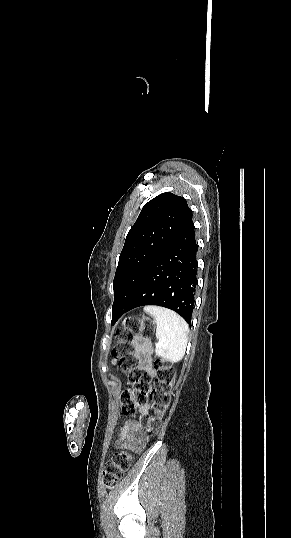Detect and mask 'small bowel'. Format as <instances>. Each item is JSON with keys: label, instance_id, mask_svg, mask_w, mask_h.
Masks as SVG:
<instances>
[{"label": "small bowel", "instance_id": "obj_1", "mask_svg": "<svg viewBox=\"0 0 291 538\" xmlns=\"http://www.w3.org/2000/svg\"><path fill=\"white\" fill-rule=\"evenodd\" d=\"M138 342L142 343V340L139 339ZM141 411L145 413L147 411V407H141ZM145 442L146 436L143 431L137 426L134 420L128 419L121 427L117 445L122 446L128 443L136 451H140L144 447Z\"/></svg>", "mask_w": 291, "mask_h": 538}]
</instances>
